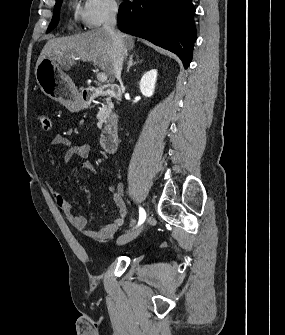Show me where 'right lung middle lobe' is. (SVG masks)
<instances>
[{
	"label": "right lung middle lobe",
	"mask_w": 285,
	"mask_h": 335,
	"mask_svg": "<svg viewBox=\"0 0 285 335\" xmlns=\"http://www.w3.org/2000/svg\"><path fill=\"white\" fill-rule=\"evenodd\" d=\"M61 4L62 2L58 3L55 5L54 7V15H53V18H52V21L47 29V33H49L51 30H53L57 24H58V21H59V10H60V7H61Z\"/></svg>",
	"instance_id": "1"
}]
</instances>
